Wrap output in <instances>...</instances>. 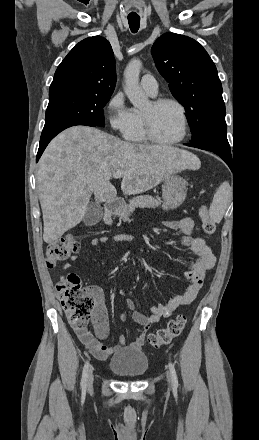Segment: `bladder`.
<instances>
[{
  "instance_id": "obj_1",
  "label": "bladder",
  "mask_w": 259,
  "mask_h": 440,
  "mask_svg": "<svg viewBox=\"0 0 259 440\" xmlns=\"http://www.w3.org/2000/svg\"><path fill=\"white\" fill-rule=\"evenodd\" d=\"M148 366V357L140 349L120 348L109 360L111 372L123 378H139L146 373Z\"/></svg>"
}]
</instances>
